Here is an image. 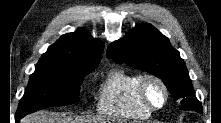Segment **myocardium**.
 Wrapping results in <instances>:
<instances>
[{"label":"myocardium","instance_id":"1","mask_svg":"<svg viewBox=\"0 0 221 123\" xmlns=\"http://www.w3.org/2000/svg\"><path fill=\"white\" fill-rule=\"evenodd\" d=\"M151 83L158 85L163 92L164 99H163L162 104L160 105L153 104L148 97L147 88H148V85ZM137 93L142 104L146 108H148L150 111H158V110L163 109L169 101V90H168L167 85L160 77L154 74H144L140 77L138 85H137Z\"/></svg>","mask_w":221,"mask_h":123}]
</instances>
